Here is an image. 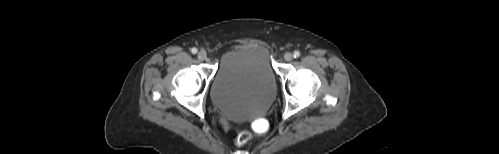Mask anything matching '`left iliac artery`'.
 Returning <instances> with one entry per match:
<instances>
[{
    "mask_svg": "<svg viewBox=\"0 0 499 154\" xmlns=\"http://www.w3.org/2000/svg\"><path fill=\"white\" fill-rule=\"evenodd\" d=\"M293 55H294V58H298L300 56V52L296 50V51H294Z\"/></svg>",
    "mask_w": 499,
    "mask_h": 154,
    "instance_id": "obj_1",
    "label": "left iliac artery"
}]
</instances>
